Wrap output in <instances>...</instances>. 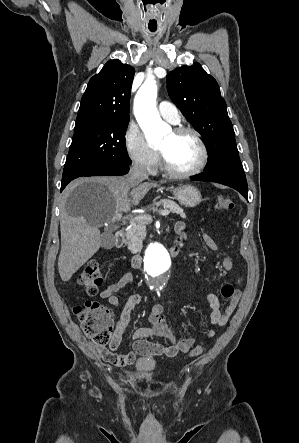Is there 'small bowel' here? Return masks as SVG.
I'll return each mask as SVG.
<instances>
[{
    "label": "small bowel",
    "mask_w": 299,
    "mask_h": 443,
    "mask_svg": "<svg viewBox=\"0 0 299 443\" xmlns=\"http://www.w3.org/2000/svg\"><path fill=\"white\" fill-rule=\"evenodd\" d=\"M175 231L178 235L177 243L183 244V239L185 236L186 225L184 222H177L175 225ZM203 240L206 246L210 250L217 249V243L213 237L208 234H203ZM222 268L224 270H231L233 268V261L229 256H225L222 259ZM134 280V276L131 273L124 274L118 281L108 285L100 292V298L106 300L112 306H118L120 300L117 293L130 285ZM244 279L241 277L236 281V285H241ZM221 296L225 299L226 305L223 311L220 310V302L215 294H209L207 299L211 307L210 313V324L211 326H224L227 324L229 318L235 311L240 297L241 292L232 284H224L221 288ZM142 301V296L138 293H134L129 296L126 301L122 312L116 323L113 338L110 342L109 348L107 349L108 355L104 358L116 365V366H126L132 364L137 355H147L152 353H162L166 356L173 357L178 353H187L195 343V339L191 337H182L176 339L171 331V328L167 322L164 315V308L160 304H155L152 306L149 314L148 327L137 328L133 332L134 350L117 353L125 329L130 323L132 311L135 307ZM207 330L208 337H214L215 330L213 328ZM161 339L168 340L169 345H163Z\"/></svg>",
    "instance_id": "c3829d8e"
}]
</instances>
